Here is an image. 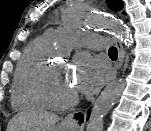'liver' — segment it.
<instances>
[{
	"mask_svg": "<svg viewBox=\"0 0 151 131\" xmlns=\"http://www.w3.org/2000/svg\"><path fill=\"white\" fill-rule=\"evenodd\" d=\"M59 117L44 110H31L16 114L8 123L7 131H49Z\"/></svg>",
	"mask_w": 151,
	"mask_h": 131,
	"instance_id": "6515ba94",
	"label": "liver"
}]
</instances>
